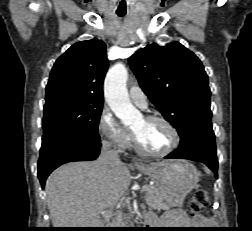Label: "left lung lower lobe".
Listing matches in <instances>:
<instances>
[{"mask_svg": "<svg viewBox=\"0 0 252 231\" xmlns=\"http://www.w3.org/2000/svg\"><path fill=\"white\" fill-rule=\"evenodd\" d=\"M180 137L179 147L165 158L199 161L206 164L217 175L218 161L212 126L192 127Z\"/></svg>", "mask_w": 252, "mask_h": 231, "instance_id": "obj_1", "label": "left lung lower lobe"}]
</instances>
